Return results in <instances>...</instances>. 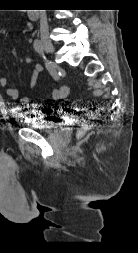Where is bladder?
<instances>
[{"mask_svg":"<svg viewBox=\"0 0 138 253\" xmlns=\"http://www.w3.org/2000/svg\"><path fill=\"white\" fill-rule=\"evenodd\" d=\"M36 107V105H34ZM45 111H49L48 108ZM49 114L44 113V111L29 110L20 112L21 122L28 128L39 130V131H49L57 127V124L47 120Z\"/></svg>","mask_w":138,"mask_h":253,"instance_id":"31cf9c89","label":"bladder"}]
</instances>
